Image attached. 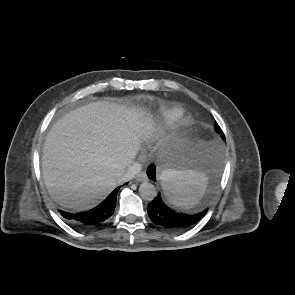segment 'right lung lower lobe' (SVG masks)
Returning <instances> with one entry per match:
<instances>
[{
	"instance_id": "right-lung-lower-lobe-1",
	"label": "right lung lower lobe",
	"mask_w": 295,
	"mask_h": 295,
	"mask_svg": "<svg viewBox=\"0 0 295 295\" xmlns=\"http://www.w3.org/2000/svg\"><path fill=\"white\" fill-rule=\"evenodd\" d=\"M119 189L120 187H117L100 205L89 211L76 214L61 211V215L74 225L82 228L101 225L113 214Z\"/></svg>"
}]
</instances>
